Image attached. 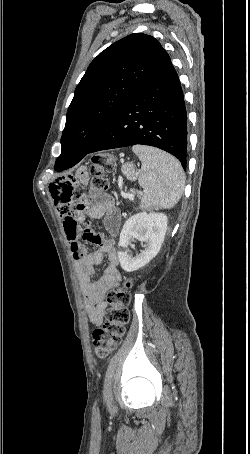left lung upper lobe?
<instances>
[{
	"label": "left lung upper lobe",
	"mask_w": 250,
	"mask_h": 454,
	"mask_svg": "<svg viewBox=\"0 0 250 454\" xmlns=\"http://www.w3.org/2000/svg\"><path fill=\"white\" fill-rule=\"evenodd\" d=\"M168 61L161 44L143 33L126 36L102 51L75 89L61 137V155H86L116 113Z\"/></svg>",
	"instance_id": "1"
}]
</instances>
